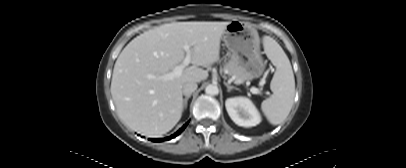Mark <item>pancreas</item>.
<instances>
[{
	"instance_id": "pancreas-1",
	"label": "pancreas",
	"mask_w": 406,
	"mask_h": 168,
	"mask_svg": "<svg viewBox=\"0 0 406 168\" xmlns=\"http://www.w3.org/2000/svg\"><path fill=\"white\" fill-rule=\"evenodd\" d=\"M223 71L227 72L229 76L235 77L236 83H243L248 80L242 68L231 61L224 66Z\"/></svg>"
}]
</instances>
